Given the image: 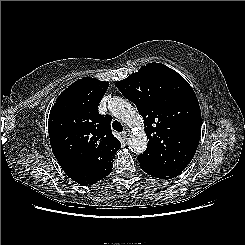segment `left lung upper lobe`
Instances as JSON below:
<instances>
[{
    "instance_id": "5c2ea615",
    "label": "left lung upper lobe",
    "mask_w": 245,
    "mask_h": 245,
    "mask_svg": "<svg viewBox=\"0 0 245 245\" xmlns=\"http://www.w3.org/2000/svg\"><path fill=\"white\" fill-rule=\"evenodd\" d=\"M116 87L144 119L148 145L137 159L142 170L176 177L190 163L201 135L195 92L176 71L148 63Z\"/></svg>"
}]
</instances>
